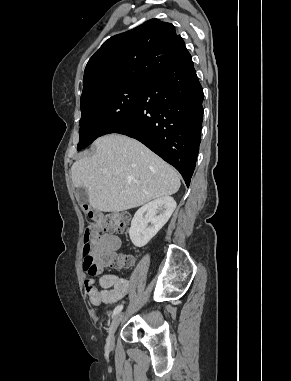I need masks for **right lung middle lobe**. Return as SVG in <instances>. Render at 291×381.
<instances>
[{
    "label": "right lung middle lobe",
    "mask_w": 291,
    "mask_h": 381,
    "mask_svg": "<svg viewBox=\"0 0 291 381\" xmlns=\"http://www.w3.org/2000/svg\"><path fill=\"white\" fill-rule=\"evenodd\" d=\"M146 82L121 84L101 90L81 102L80 141L78 150L90 145L129 119L145 88Z\"/></svg>",
    "instance_id": "1"
}]
</instances>
